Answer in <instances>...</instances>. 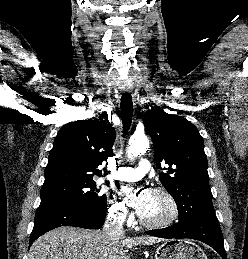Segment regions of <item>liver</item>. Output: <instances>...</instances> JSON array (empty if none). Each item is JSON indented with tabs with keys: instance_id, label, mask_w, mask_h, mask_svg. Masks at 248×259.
Masks as SVG:
<instances>
[{
	"instance_id": "6515ba94",
	"label": "liver",
	"mask_w": 248,
	"mask_h": 259,
	"mask_svg": "<svg viewBox=\"0 0 248 259\" xmlns=\"http://www.w3.org/2000/svg\"><path fill=\"white\" fill-rule=\"evenodd\" d=\"M161 241L153 236L111 238L101 230L62 226L39 237L29 259H130L132 248Z\"/></svg>"
}]
</instances>
